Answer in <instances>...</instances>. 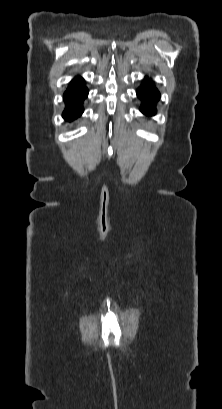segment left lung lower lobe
Wrapping results in <instances>:
<instances>
[{"mask_svg":"<svg viewBox=\"0 0 222 409\" xmlns=\"http://www.w3.org/2000/svg\"><path fill=\"white\" fill-rule=\"evenodd\" d=\"M137 96L142 98L144 106L141 109L146 115L155 114V103L159 100V92L152 83H147L137 90Z\"/></svg>","mask_w":222,"mask_h":409,"instance_id":"left-lung-lower-lobe-1","label":"left lung lower lobe"}]
</instances>
